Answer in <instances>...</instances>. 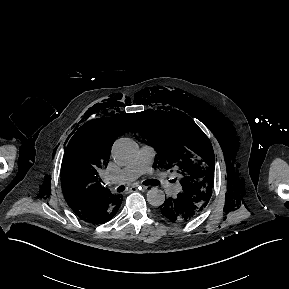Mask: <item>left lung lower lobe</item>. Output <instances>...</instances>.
<instances>
[{"label":"left lung lower lobe","mask_w":289,"mask_h":289,"mask_svg":"<svg viewBox=\"0 0 289 289\" xmlns=\"http://www.w3.org/2000/svg\"><path fill=\"white\" fill-rule=\"evenodd\" d=\"M203 209L202 206L182 193H179L175 198L165 199L160 206L161 214L173 223L190 221L197 217Z\"/></svg>","instance_id":"left-lung-lower-lobe-1"}]
</instances>
